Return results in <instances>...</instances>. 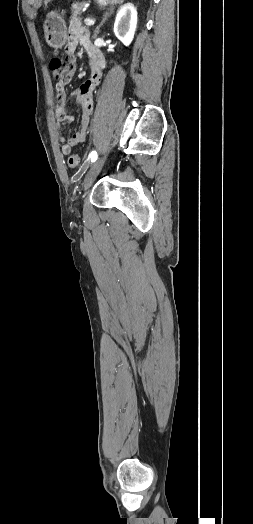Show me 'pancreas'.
I'll return each instance as SVG.
<instances>
[{
  "label": "pancreas",
  "instance_id": "pancreas-1",
  "mask_svg": "<svg viewBox=\"0 0 253 524\" xmlns=\"http://www.w3.org/2000/svg\"><path fill=\"white\" fill-rule=\"evenodd\" d=\"M86 2H76L71 6L72 17H77L82 13V10L86 7Z\"/></svg>",
  "mask_w": 253,
  "mask_h": 524
}]
</instances>
